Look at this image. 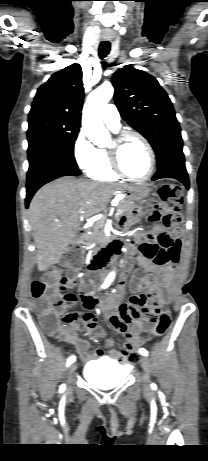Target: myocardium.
Listing matches in <instances>:
<instances>
[{"label": "myocardium", "instance_id": "1", "mask_svg": "<svg viewBox=\"0 0 208 461\" xmlns=\"http://www.w3.org/2000/svg\"><path fill=\"white\" fill-rule=\"evenodd\" d=\"M131 137L138 138L144 144L149 154V158H150L149 170L147 174L143 177H134V176L127 174L125 170L123 169L121 162H120L121 147L123 143ZM106 151L108 153L109 162H110V166L112 170L120 177L129 179L132 181H136V182H144V181L149 180L155 171L156 157H155V152L153 150V147L148 141V139L137 131L127 130V131H122L118 133L113 139V145L110 146Z\"/></svg>", "mask_w": 208, "mask_h": 461}]
</instances>
